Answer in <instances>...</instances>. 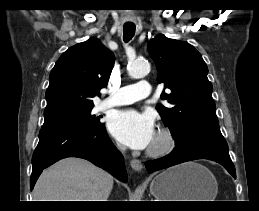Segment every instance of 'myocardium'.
I'll return each instance as SVG.
<instances>
[{
    "instance_id": "myocardium-1",
    "label": "myocardium",
    "mask_w": 259,
    "mask_h": 211,
    "mask_svg": "<svg viewBox=\"0 0 259 211\" xmlns=\"http://www.w3.org/2000/svg\"><path fill=\"white\" fill-rule=\"evenodd\" d=\"M156 142L152 144L147 153L150 156H162L173 150L175 147V137L168 128H161L157 132Z\"/></svg>"
}]
</instances>
